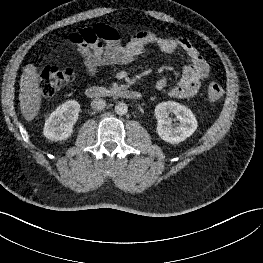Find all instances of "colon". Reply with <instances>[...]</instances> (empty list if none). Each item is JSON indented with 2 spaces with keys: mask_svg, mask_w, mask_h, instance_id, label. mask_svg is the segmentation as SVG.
Wrapping results in <instances>:
<instances>
[{
  "mask_svg": "<svg viewBox=\"0 0 263 263\" xmlns=\"http://www.w3.org/2000/svg\"><path fill=\"white\" fill-rule=\"evenodd\" d=\"M74 78L71 68L47 66L40 73V91L44 96H52L60 91ZM224 95L223 87L218 83H211L207 89V98L210 102H218Z\"/></svg>",
  "mask_w": 263,
  "mask_h": 263,
  "instance_id": "obj_1",
  "label": "colon"
}]
</instances>
